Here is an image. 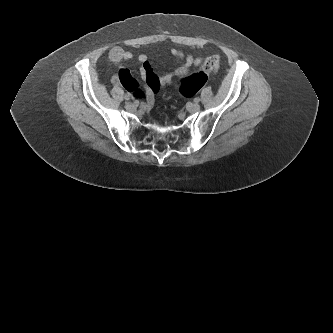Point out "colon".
Listing matches in <instances>:
<instances>
[{"mask_svg":"<svg viewBox=\"0 0 333 333\" xmlns=\"http://www.w3.org/2000/svg\"><path fill=\"white\" fill-rule=\"evenodd\" d=\"M220 58L218 56H211L207 58L204 63L202 70L184 78L180 83V93L185 97H191L199 92V90L207 82V74L215 71L219 68Z\"/></svg>","mask_w":333,"mask_h":333,"instance_id":"1","label":"colon"}]
</instances>
